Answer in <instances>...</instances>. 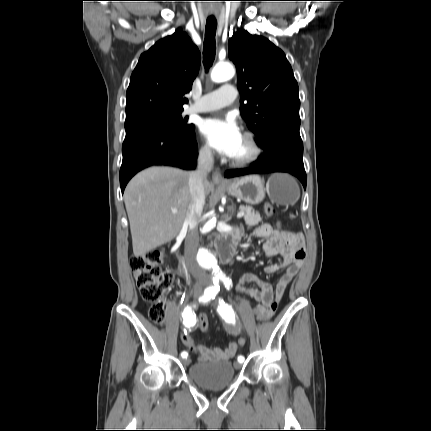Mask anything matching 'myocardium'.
I'll return each mask as SVG.
<instances>
[{
	"mask_svg": "<svg viewBox=\"0 0 431 431\" xmlns=\"http://www.w3.org/2000/svg\"><path fill=\"white\" fill-rule=\"evenodd\" d=\"M243 138L247 141L250 151L244 157H240V158L231 157L230 163L237 167L250 165L256 162L257 160H259V158L263 154V148L254 133L247 131L243 134Z\"/></svg>",
	"mask_w": 431,
	"mask_h": 431,
	"instance_id": "f54148a6",
	"label": "myocardium"
}]
</instances>
